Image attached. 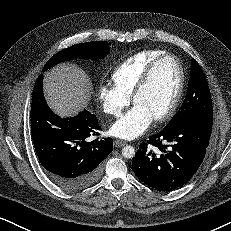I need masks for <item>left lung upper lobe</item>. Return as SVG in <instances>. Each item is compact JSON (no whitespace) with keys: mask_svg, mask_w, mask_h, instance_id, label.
Here are the masks:
<instances>
[{"mask_svg":"<svg viewBox=\"0 0 231 231\" xmlns=\"http://www.w3.org/2000/svg\"><path fill=\"white\" fill-rule=\"evenodd\" d=\"M189 117L213 118L210 89L200 65L194 59L191 62L190 78L184 102L166 127Z\"/></svg>","mask_w":231,"mask_h":231,"instance_id":"left-lung-upper-lobe-1","label":"left lung upper lobe"}]
</instances>
